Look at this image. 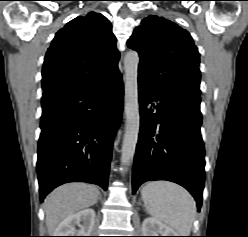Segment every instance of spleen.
Instances as JSON below:
<instances>
[{"label": "spleen", "mask_w": 248, "mask_h": 237, "mask_svg": "<svg viewBox=\"0 0 248 237\" xmlns=\"http://www.w3.org/2000/svg\"><path fill=\"white\" fill-rule=\"evenodd\" d=\"M147 212L177 231L189 236L196 214L192 196L181 186L167 181L148 182L141 190Z\"/></svg>", "instance_id": "obj_1"}]
</instances>
